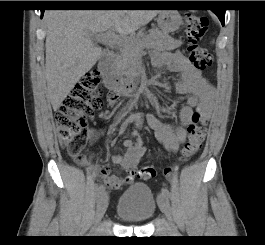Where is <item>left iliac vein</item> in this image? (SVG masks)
<instances>
[{
    "mask_svg": "<svg viewBox=\"0 0 265 245\" xmlns=\"http://www.w3.org/2000/svg\"><path fill=\"white\" fill-rule=\"evenodd\" d=\"M158 205H159L161 211L165 214L168 221L171 223L172 228L174 229L173 222H172L173 221L172 210L170 207V202H169L168 197L164 194H160L158 196Z\"/></svg>",
    "mask_w": 265,
    "mask_h": 245,
    "instance_id": "obj_1",
    "label": "left iliac vein"
}]
</instances>
